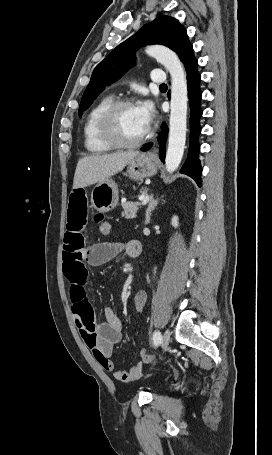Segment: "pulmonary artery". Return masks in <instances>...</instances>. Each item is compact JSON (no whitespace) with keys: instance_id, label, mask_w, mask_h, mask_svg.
Returning a JSON list of instances; mask_svg holds the SVG:
<instances>
[{"instance_id":"obj_1","label":"pulmonary artery","mask_w":272,"mask_h":455,"mask_svg":"<svg viewBox=\"0 0 272 455\" xmlns=\"http://www.w3.org/2000/svg\"><path fill=\"white\" fill-rule=\"evenodd\" d=\"M151 81L157 84H163L166 81V75L161 70H153L150 75Z\"/></svg>"}]
</instances>
